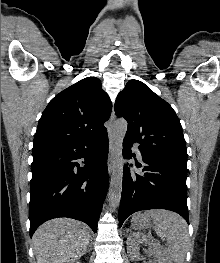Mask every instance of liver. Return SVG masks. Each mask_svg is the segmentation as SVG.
Segmentation results:
<instances>
[{"instance_id": "liver-1", "label": "liver", "mask_w": 220, "mask_h": 263, "mask_svg": "<svg viewBox=\"0 0 220 263\" xmlns=\"http://www.w3.org/2000/svg\"><path fill=\"white\" fill-rule=\"evenodd\" d=\"M91 239L86 224L56 218L42 224L32 241L37 263H69L81 258Z\"/></svg>"}]
</instances>
